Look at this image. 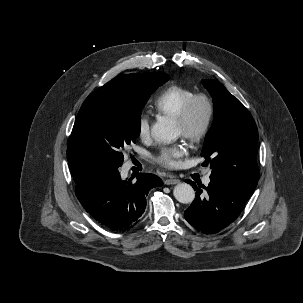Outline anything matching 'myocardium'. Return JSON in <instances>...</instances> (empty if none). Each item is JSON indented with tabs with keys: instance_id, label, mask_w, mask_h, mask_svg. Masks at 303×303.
<instances>
[{
	"instance_id": "1",
	"label": "myocardium",
	"mask_w": 303,
	"mask_h": 303,
	"mask_svg": "<svg viewBox=\"0 0 303 303\" xmlns=\"http://www.w3.org/2000/svg\"><path fill=\"white\" fill-rule=\"evenodd\" d=\"M202 103L205 108L204 116L199 123L194 120L196 106ZM215 107L212 99L204 94L193 95L184 105L180 114L176 117L177 123L181 126L182 135L192 143L200 142L207 134L213 121Z\"/></svg>"
}]
</instances>
